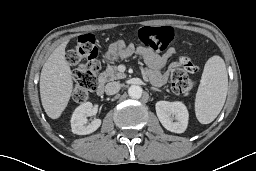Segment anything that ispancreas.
Segmentation results:
<instances>
[{
	"instance_id": "1",
	"label": "pancreas",
	"mask_w": 256,
	"mask_h": 171,
	"mask_svg": "<svg viewBox=\"0 0 256 171\" xmlns=\"http://www.w3.org/2000/svg\"><path fill=\"white\" fill-rule=\"evenodd\" d=\"M126 74L118 71L117 66H109L104 72L99 76L100 82L104 83L107 81H113L117 79H123Z\"/></svg>"
}]
</instances>
